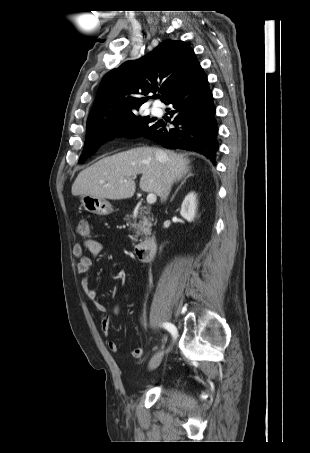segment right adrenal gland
I'll return each instance as SVG.
<instances>
[{
	"label": "right adrenal gland",
	"mask_w": 310,
	"mask_h": 453,
	"mask_svg": "<svg viewBox=\"0 0 310 453\" xmlns=\"http://www.w3.org/2000/svg\"><path fill=\"white\" fill-rule=\"evenodd\" d=\"M191 176H194V174L191 172V169L189 168L187 170V172L185 173L184 175V178L181 182V184L178 186V188L176 189L175 193L172 195L171 199H170V202H172L177 194V192L179 191V189L182 187V185L186 182V180L191 177Z\"/></svg>",
	"instance_id": "obj_1"
}]
</instances>
